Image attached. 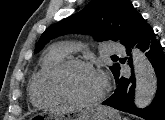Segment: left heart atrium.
<instances>
[{
  "instance_id": "39dd6f15",
  "label": "left heart atrium",
  "mask_w": 165,
  "mask_h": 120,
  "mask_svg": "<svg viewBox=\"0 0 165 120\" xmlns=\"http://www.w3.org/2000/svg\"><path fill=\"white\" fill-rule=\"evenodd\" d=\"M99 77H100V79H101L102 83H104V79H103L101 76H99Z\"/></svg>"
}]
</instances>
